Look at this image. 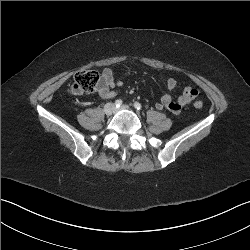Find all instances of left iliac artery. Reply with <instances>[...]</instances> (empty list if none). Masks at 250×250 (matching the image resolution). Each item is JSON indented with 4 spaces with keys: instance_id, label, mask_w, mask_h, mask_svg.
<instances>
[{
    "instance_id": "obj_1",
    "label": "left iliac artery",
    "mask_w": 250,
    "mask_h": 250,
    "mask_svg": "<svg viewBox=\"0 0 250 250\" xmlns=\"http://www.w3.org/2000/svg\"><path fill=\"white\" fill-rule=\"evenodd\" d=\"M134 108L137 109V110H141L142 109V106L139 102H135L134 103Z\"/></svg>"
}]
</instances>
